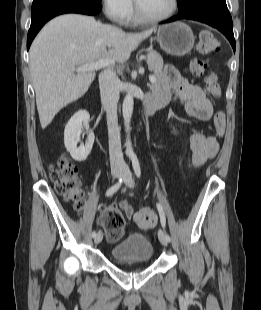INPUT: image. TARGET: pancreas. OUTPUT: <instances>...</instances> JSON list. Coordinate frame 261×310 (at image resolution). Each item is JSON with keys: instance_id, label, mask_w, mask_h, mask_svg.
Wrapping results in <instances>:
<instances>
[{"instance_id": "obj_1", "label": "pancreas", "mask_w": 261, "mask_h": 310, "mask_svg": "<svg viewBox=\"0 0 261 310\" xmlns=\"http://www.w3.org/2000/svg\"><path fill=\"white\" fill-rule=\"evenodd\" d=\"M149 69L153 71L156 78V82L152 83L151 89H155L157 85L161 82L162 68H163V59L160 55L149 52L146 58Z\"/></svg>"}]
</instances>
